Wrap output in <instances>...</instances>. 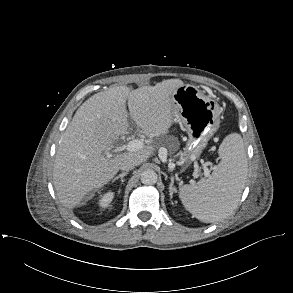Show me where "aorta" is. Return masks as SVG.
I'll list each match as a JSON object with an SVG mask.
<instances>
[{
    "instance_id": "obj_1",
    "label": "aorta",
    "mask_w": 293,
    "mask_h": 293,
    "mask_svg": "<svg viewBox=\"0 0 293 293\" xmlns=\"http://www.w3.org/2000/svg\"><path fill=\"white\" fill-rule=\"evenodd\" d=\"M157 173L153 170H145L141 174V182L145 185H153L157 182Z\"/></svg>"
}]
</instances>
